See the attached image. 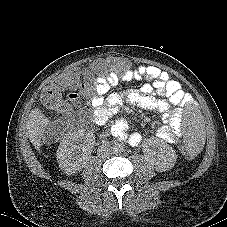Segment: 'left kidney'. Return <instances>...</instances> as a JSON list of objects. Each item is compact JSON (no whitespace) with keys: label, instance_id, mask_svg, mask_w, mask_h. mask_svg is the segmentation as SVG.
I'll list each match as a JSON object with an SVG mask.
<instances>
[{"label":"left kidney","instance_id":"left-kidney-1","mask_svg":"<svg viewBox=\"0 0 227 227\" xmlns=\"http://www.w3.org/2000/svg\"><path fill=\"white\" fill-rule=\"evenodd\" d=\"M144 154L149 165L160 172L171 169L177 160L175 150L167 143L156 138L147 141Z\"/></svg>","mask_w":227,"mask_h":227}]
</instances>
